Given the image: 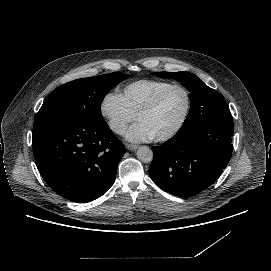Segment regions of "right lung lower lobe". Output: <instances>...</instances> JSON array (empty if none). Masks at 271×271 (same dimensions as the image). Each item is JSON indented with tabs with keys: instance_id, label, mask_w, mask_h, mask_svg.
<instances>
[{
	"instance_id": "1",
	"label": "right lung lower lobe",
	"mask_w": 271,
	"mask_h": 271,
	"mask_svg": "<svg viewBox=\"0 0 271 271\" xmlns=\"http://www.w3.org/2000/svg\"><path fill=\"white\" fill-rule=\"evenodd\" d=\"M32 135L37 168L60 196L88 202L113 185L125 146L105 121L45 120Z\"/></svg>"
}]
</instances>
